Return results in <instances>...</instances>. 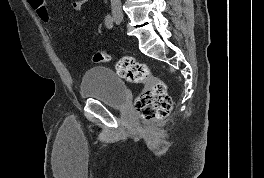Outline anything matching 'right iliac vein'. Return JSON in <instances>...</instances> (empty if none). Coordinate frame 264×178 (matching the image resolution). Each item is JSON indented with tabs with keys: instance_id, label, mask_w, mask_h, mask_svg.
<instances>
[{
	"instance_id": "obj_1",
	"label": "right iliac vein",
	"mask_w": 264,
	"mask_h": 178,
	"mask_svg": "<svg viewBox=\"0 0 264 178\" xmlns=\"http://www.w3.org/2000/svg\"><path fill=\"white\" fill-rule=\"evenodd\" d=\"M114 19L116 20V21H122L123 20V16L121 15V14H115L114 15Z\"/></svg>"
}]
</instances>
